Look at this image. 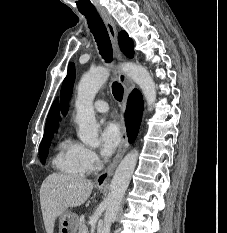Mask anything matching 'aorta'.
<instances>
[{
	"instance_id": "762f6f07",
	"label": "aorta",
	"mask_w": 227,
	"mask_h": 233,
	"mask_svg": "<svg viewBox=\"0 0 227 233\" xmlns=\"http://www.w3.org/2000/svg\"><path fill=\"white\" fill-rule=\"evenodd\" d=\"M122 70L141 88L149 110L156 101V85L147 69L134 64L122 65ZM109 69L99 67L82 76L75 101L76 123L79 126L78 137L89 147L99 145V125L95 118L93 101L95 95L109 77ZM138 159V151L129 152L118 165L110 184L106 198V211L101 233H110L112 222L115 221L123 196L129 186Z\"/></svg>"
}]
</instances>
